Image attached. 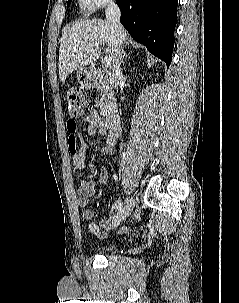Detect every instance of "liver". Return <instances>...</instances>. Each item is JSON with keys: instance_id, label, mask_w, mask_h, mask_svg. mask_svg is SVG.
Listing matches in <instances>:
<instances>
[{"instance_id": "1", "label": "liver", "mask_w": 239, "mask_h": 303, "mask_svg": "<svg viewBox=\"0 0 239 303\" xmlns=\"http://www.w3.org/2000/svg\"><path fill=\"white\" fill-rule=\"evenodd\" d=\"M126 38L125 32V40ZM118 43L115 29L107 20H85L66 27L60 40L58 64L60 81L64 83L74 70L84 68L98 59L104 44H107L109 57L114 64Z\"/></svg>"}]
</instances>
